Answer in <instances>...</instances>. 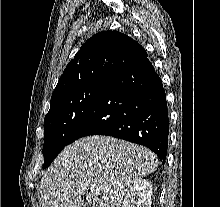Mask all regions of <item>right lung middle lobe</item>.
<instances>
[{"mask_svg": "<svg viewBox=\"0 0 220 207\" xmlns=\"http://www.w3.org/2000/svg\"><path fill=\"white\" fill-rule=\"evenodd\" d=\"M107 81H96L51 99L44 118L43 168L69 144L71 135L94 108Z\"/></svg>", "mask_w": 220, "mask_h": 207, "instance_id": "obj_1", "label": "right lung middle lobe"}]
</instances>
